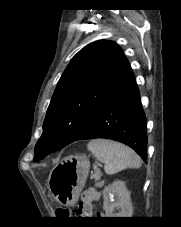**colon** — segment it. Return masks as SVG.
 Returning a JSON list of instances; mask_svg holds the SVG:
<instances>
[{"label": "colon", "mask_w": 181, "mask_h": 227, "mask_svg": "<svg viewBox=\"0 0 181 227\" xmlns=\"http://www.w3.org/2000/svg\"><path fill=\"white\" fill-rule=\"evenodd\" d=\"M59 212H60V214L64 215V214H66L68 211H67L66 209H61Z\"/></svg>", "instance_id": "5ec220e1"}]
</instances>
